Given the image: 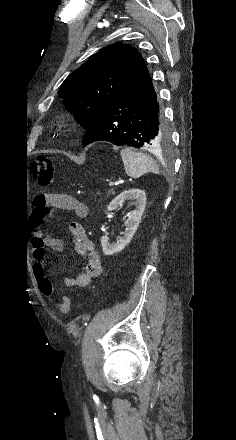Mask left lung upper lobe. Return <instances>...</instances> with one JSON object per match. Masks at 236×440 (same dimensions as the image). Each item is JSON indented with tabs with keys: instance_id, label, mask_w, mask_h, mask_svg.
Returning a JSON list of instances; mask_svg holds the SVG:
<instances>
[{
	"instance_id": "1",
	"label": "left lung upper lobe",
	"mask_w": 236,
	"mask_h": 440,
	"mask_svg": "<svg viewBox=\"0 0 236 440\" xmlns=\"http://www.w3.org/2000/svg\"><path fill=\"white\" fill-rule=\"evenodd\" d=\"M147 71L136 48L111 45L72 72L62 83L58 95L83 128L89 129L105 109Z\"/></svg>"
}]
</instances>
